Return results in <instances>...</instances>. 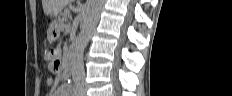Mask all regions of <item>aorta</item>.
Here are the masks:
<instances>
[{
  "label": "aorta",
  "instance_id": "obj_1",
  "mask_svg": "<svg viewBox=\"0 0 232 96\" xmlns=\"http://www.w3.org/2000/svg\"><path fill=\"white\" fill-rule=\"evenodd\" d=\"M105 0H89L84 24L81 27L76 40L74 55L72 59V72L77 76L84 74V50L97 25Z\"/></svg>",
  "mask_w": 232,
  "mask_h": 96
}]
</instances>
